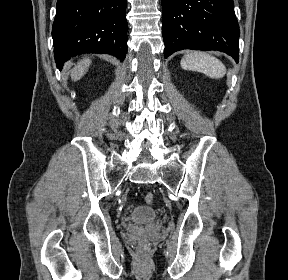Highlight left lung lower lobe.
<instances>
[{
    "mask_svg": "<svg viewBox=\"0 0 288 280\" xmlns=\"http://www.w3.org/2000/svg\"><path fill=\"white\" fill-rule=\"evenodd\" d=\"M165 58L182 49L218 50L239 60L233 0H162Z\"/></svg>",
    "mask_w": 288,
    "mask_h": 280,
    "instance_id": "1",
    "label": "left lung lower lobe"
}]
</instances>
